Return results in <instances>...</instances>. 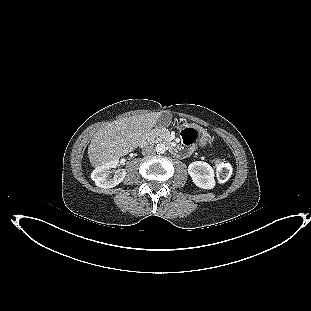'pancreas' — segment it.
Here are the masks:
<instances>
[{
  "label": "pancreas",
  "mask_w": 311,
  "mask_h": 311,
  "mask_svg": "<svg viewBox=\"0 0 311 311\" xmlns=\"http://www.w3.org/2000/svg\"><path fill=\"white\" fill-rule=\"evenodd\" d=\"M158 136H159V139H163L165 141H168L169 142V137H170V132L166 129H161L158 131Z\"/></svg>",
  "instance_id": "1"
}]
</instances>
